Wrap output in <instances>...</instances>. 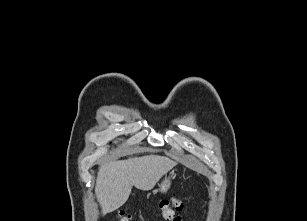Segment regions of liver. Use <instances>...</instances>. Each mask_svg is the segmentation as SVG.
Segmentation results:
<instances>
[{"label": "liver", "mask_w": 307, "mask_h": 221, "mask_svg": "<svg viewBox=\"0 0 307 221\" xmlns=\"http://www.w3.org/2000/svg\"><path fill=\"white\" fill-rule=\"evenodd\" d=\"M175 165L171 159L158 155L102 164L95 186L102 215L120 208L128 200L133 186L143 191L151 190Z\"/></svg>", "instance_id": "obj_1"}]
</instances>
